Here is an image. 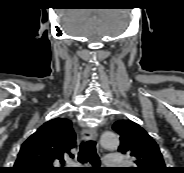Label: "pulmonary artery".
I'll return each mask as SVG.
<instances>
[{"label": "pulmonary artery", "mask_w": 184, "mask_h": 173, "mask_svg": "<svg viewBox=\"0 0 184 173\" xmlns=\"http://www.w3.org/2000/svg\"><path fill=\"white\" fill-rule=\"evenodd\" d=\"M121 164L119 154H108L104 157V165L109 168H116Z\"/></svg>", "instance_id": "e3ab8cb5"}]
</instances>
